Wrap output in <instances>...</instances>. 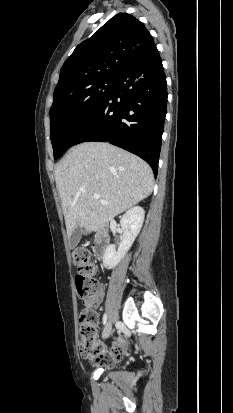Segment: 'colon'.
Listing matches in <instances>:
<instances>
[{
  "mask_svg": "<svg viewBox=\"0 0 233 413\" xmlns=\"http://www.w3.org/2000/svg\"><path fill=\"white\" fill-rule=\"evenodd\" d=\"M73 262L77 267L75 276V286L78 295L81 298H88L92 292H95L99 282L95 277L97 265L92 261L91 252L86 248H77L72 253ZM98 315L96 305L90 303L83 309L79 316V339L80 354L84 358H96L101 365H108L116 358L101 357L100 346L97 340Z\"/></svg>",
  "mask_w": 233,
  "mask_h": 413,
  "instance_id": "obj_1",
  "label": "colon"
}]
</instances>
